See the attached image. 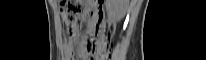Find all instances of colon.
Instances as JSON below:
<instances>
[{
	"mask_svg": "<svg viewBox=\"0 0 206 60\" xmlns=\"http://www.w3.org/2000/svg\"><path fill=\"white\" fill-rule=\"evenodd\" d=\"M98 8H96L97 10ZM62 19L72 33L79 21L81 7L76 2L63 1L60 6ZM112 27L108 24L97 23L95 26L96 36L88 39L85 50L92 60H108L110 55V36Z\"/></svg>",
	"mask_w": 206,
	"mask_h": 60,
	"instance_id": "obj_1",
	"label": "colon"
}]
</instances>
